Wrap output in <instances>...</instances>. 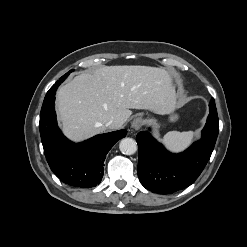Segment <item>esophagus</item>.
Masks as SVG:
<instances>
[{"mask_svg": "<svg viewBox=\"0 0 247 247\" xmlns=\"http://www.w3.org/2000/svg\"><path fill=\"white\" fill-rule=\"evenodd\" d=\"M145 124V119L142 117H136L132 123L131 127L133 130L137 131L142 128V126Z\"/></svg>", "mask_w": 247, "mask_h": 247, "instance_id": "1", "label": "esophagus"}]
</instances>
